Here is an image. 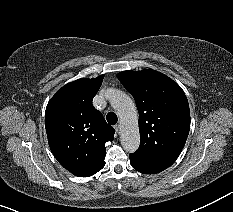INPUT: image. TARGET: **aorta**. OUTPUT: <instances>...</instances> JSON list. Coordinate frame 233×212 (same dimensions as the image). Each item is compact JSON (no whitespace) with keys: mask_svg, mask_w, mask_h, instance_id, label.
Wrapping results in <instances>:
<instances>
[{"mask_svg":"<svg viewBox=\"0 0 233 212\" xmlns=\"http://www.w3.org/2000/svg\"><path fill=\"white\" fill-rule=\"evenodd\" d=\"M106 98L116 110L121 124L120 140L126 152H135L140 145L138 112L132 99L117 89H108Z\"/></svg>","mask_w":233,"mask_h":212,"instance_id":"762f6f07","label":"aorta"}]
</instances>
